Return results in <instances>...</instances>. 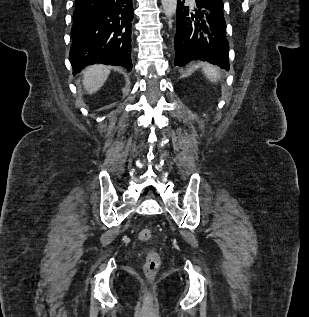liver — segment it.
Here are the masks:
<instances>
[{
  "label": "liver",
  "instance_id": "6515ba94",
  "mask_svg": "<svg viewBox=\"0 0 309 317\" xmlns=\"http://www.w3.org/2000/svg\"><path fill=\"white\" fill-rule=\"evenodd\" d=\"M110 74V67L92 65L83 71V84L89 94L96 93L105 83Z\"/></svg>",
  "mask_w": 309,
  "mask_h": 317
}]
</instances>
